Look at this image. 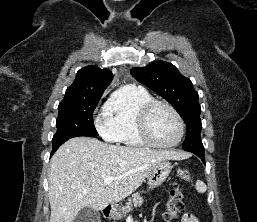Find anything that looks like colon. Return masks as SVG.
Instances as JSON below:
<instances>
[{
    "label": "colon",
    "instance_id": "5ec220e1",
    "mask_svg": "<svg viewBox=\"0 0 257 222\" xmlns=\"http://www.w3.org/2000/svg\"><path fill=\"white\" fill-rule=\"evenodd\" d=\"M176 175L179 180L183 182H188L190 179L189 172L186 169H178ZM183 192L180 188V185L175 183L171 186L169 191V198L166 202V209L164 217L166 220L170 221L177 217V215L183 209Z\"/></svg>",
    "mask_w": 257,
    "mask_h": 222
}]
</instances>
